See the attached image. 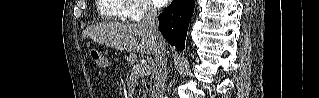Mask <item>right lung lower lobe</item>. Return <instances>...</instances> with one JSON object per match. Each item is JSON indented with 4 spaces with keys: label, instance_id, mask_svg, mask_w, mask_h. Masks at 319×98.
<instances>
[{
    "label": "right lung lower lobe",
    "instance_id": "obj_1",
    "mask_svg": "<svg viewBox=\"0 0 319 98\" xmlns=\"http://www.w3.org/2000/svg\"><path fill=\"white\" fill-rule=\"evenodd\" d=\"M194 0H174L159 15L160 31L177 50L184 49L187 29L194 12Z\"/></svg>",
    "mask_w": 319,
    "mask_h": 98
}]
</instances>
